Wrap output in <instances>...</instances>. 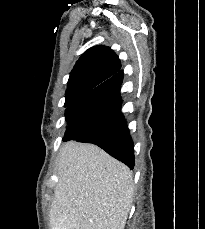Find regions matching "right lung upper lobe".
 <instances>
[{
    "instance_id": "1",
    "label": "right lung upper lobe",
    "mask_w": 205,
    "mask_h": 229,
    "mask_svg": "<svg viewBox=\"0 0 205 229\" xmlns=\"http://www.w3.org/2000/svg\"><path fill=\"white\" fill-rule=\"evenodd\" d=\"M120 68L118 56L109 47L98 45L88 49L70 74L66 101H76L113 76Z\"/></svg>"
}]
</instances>
